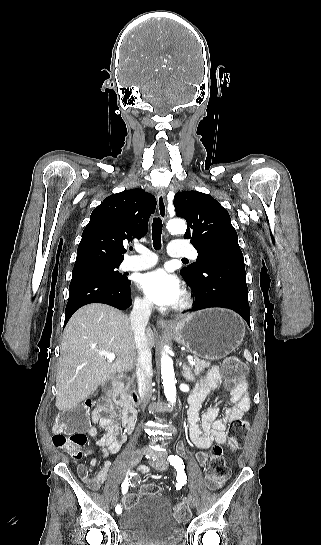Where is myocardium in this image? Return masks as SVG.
<instances>
[{"mask_svg": "<svg viewBox=\"0 0 321 545\" xmlns=\"http://www.w3.org/2000/svg\"><path fill=\"white\" fill-rule=\"evenodd\" d=\"M192 306H193V300L191 298V295L188 294L187 292L183 293L178 309L181 311H184V310H188L192 308Z\"/></svg>", "mask_w": 321, "mask_h": 545, "instance_id": "obj_1", "label": "myocardium"}]
</instances>
